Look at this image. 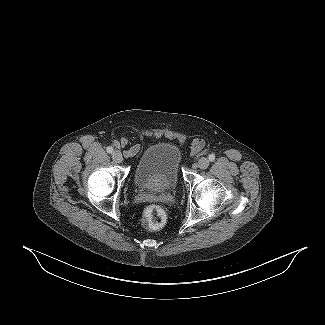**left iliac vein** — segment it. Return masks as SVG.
<instances>
[{"label": "left iliac vein", "instance_id": "left-iliac-vein-1", "mask_svg": "<svg viewBox=\"0 0 325 325\" xmlns=\"http://www.w3.org/2000/svg\"><path fill=\"white\" fill-rule=\"evenodd\" d=\"M209 166V160L205 157H202L198 160V167L200 169H206Z\"/></svg>", "mask_w": 325, "mask_h": 325}]
</instances>
